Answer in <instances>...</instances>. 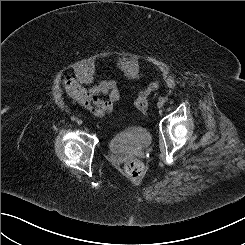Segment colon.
Here are the masks:
<instances>
[{
	"label": "colon",
	"instance_id": "colon-1",
	"mask_svg": "<svg viewBox=\"0 0 245 245\" xmlns=\"http://www.w3.org/2000/svg\"><path fill=\"white\" fill-rule=\"evenodd\" d=\"M159 87L158 81H152L144 90H142L135 99L136 109L146 114L149 106V96ZM144 166L139 160L133 159L125 164V171L129 176L139 177L143 173Z\"/></svg>",
	"mask_w": 245,
	"mask_h": 245
}]
</instances>
